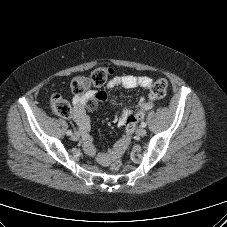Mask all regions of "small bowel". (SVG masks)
Wrapping results in <instances>:
<instances>
[{"label":"small bowel","instance_id":"small-bowel-1","mask_svg":"<svg viewBox=\"0 0 227 227\" xmlns=\"http://www.w3.org/2000/svg\"><path fill=\"white\" fill-rule=\"evenodd\" d=\"M153 84L152 78L145 75H117L109 80L107 83L108 88H114L121 86L125 89H132L141 87L148 91ZM106 99V94L100 92L94 94L93 92H87L81 95L73 97V120L81 132L83 138V145L85 151L94 156L96 161L101 165H108L109 162L119 154H122L130 143L131 133L134 128V124L128 125L127 120L133 116L136 110H138L145 102L146 96L139 98L134 108H126L121 111L119 124L125 127V134L120 138L114 147L106 152L97 153L94 145V141L91 136V124L90 119L86 114V110H94L98 103Z\"/></svg>","mask_w":227,"mask_h":227}]
</instances>
